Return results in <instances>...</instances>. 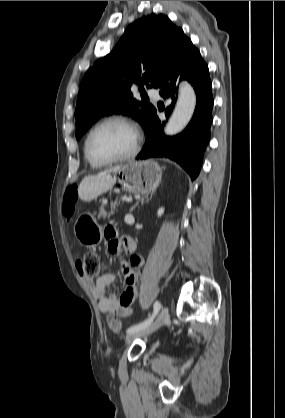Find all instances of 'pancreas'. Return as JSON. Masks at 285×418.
Returning a JSON list of instances; mask_svg holds the SVG:
<instances>
[{
	"mask_svg": "<svg viewBox=\"0 0 285 418\" xmlns=\"http://www.w3.org/2000/svg\"><path fill=\"white\" fill-rule=\"evenodd\" d=\"M116 205H117L116 203L112 204L111 209H115ZM105 206L106 205L104 203L101 205L100 212H99V217H103V218L109 217V214H107V212L105 210Z\"/></svg>",
	"mask_w": 285,
	"mask_h": 418,
	"instance_id": "cf45deb5",
	"label": "pancreas"
}]
</instances>
